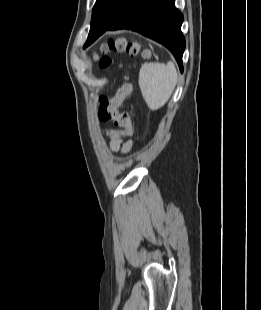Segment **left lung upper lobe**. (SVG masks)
I'll use <instances>...</instances> for the list:
<instances>
[{"label": "left lung upper lobe", "instance_id": "5c2ea615", "mask_svg": "<svg viewBox=\"0 0 261 310\" xmlns=\"http://www.w3.org/2000/svg\"><path fill=\"white\" fill-rule=\"evenodd\" d=\"M123 0H96L91 23H107L117 13Z\"/></svg>", "mask_w": 261, "mask_h": 310}]
</instances>
